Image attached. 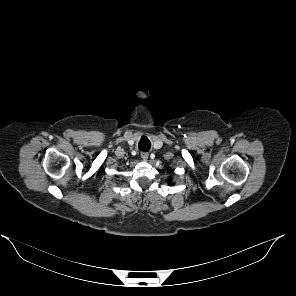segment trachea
Returning a JSON list of instances; mask_svg holds the SVG:
<instances>
[{
	"label": "trachea",
	"mask_w": 296,
	"mask_h": 296,
	"mask_svg": "<svg viewBox=\"0 0 296 296\" xmlns=\"http://www.w3.org/2000/svg\"><path fill=\"white\" fill-rule=\"evenodd\" d=\"M138 148L140 151L147 152L151 148V143L147 139V137H142V139L139 141Z\"/></svg>",
	"instance_id": "3493384b"
}]
</instances>
